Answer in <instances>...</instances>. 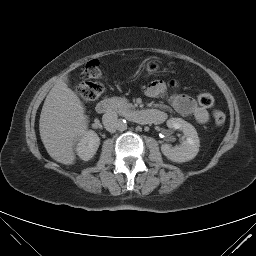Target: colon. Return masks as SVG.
I'll use <instances>...</instances> for the list:
<instances>
[{"label":"colon","mask_w":256,"mask_h":256,"mask_svg":"<svg viewBox=\"0 0 256 256\" xmlns=\"http://www.w3.org/2000/svg\"><path fill=\"white\" fill-rule=\"evenodd\" d=\"M102 71L97 60L89 61L83 72L82 81L78 84L76 91L84 102H92L97 100L103 93L104 87L100 82ZM199 104L204 108H210L214 105L215 99L208 92L200 93L197 96ZM212 118L216 125L221 126L225 123L226 116L224 112L215 110L212 113Z\"/></svg>","instance_id":"colon-1"}]
</instances>
